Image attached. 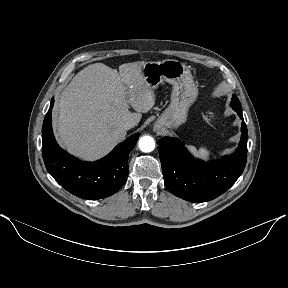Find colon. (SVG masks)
Returning <instances> with one entry per match:
<instances>
[{
  "label": "colon",
  "mask_w": 288,
  "mask_h": 288,
  "mask_svg": "<svg viewBox=\"0 0 288 288\" xmlns=\"http://www.w3.org/2000/svg\"><path fill=\"white\" fill-rule=\"evenodd\" d=\"M218 112L215 108H207L204 112V120L209 124H214L217 122Z\"/></svg>",
  "instance_id": "obj_1"
}]
</instances>
